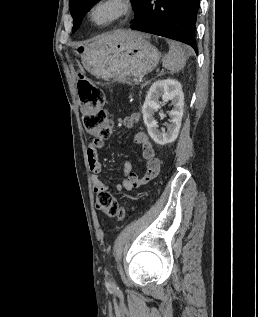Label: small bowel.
Returning <instances> with one entry per match:
<instances>
[{"label": "small bowel", "mask_w": 258, "mask_h": 317, "mask_svg": "<svg viewBox=\"0 0 258 317\" xmlns=\"http://www.w3.org/2000/svg\"><path fill=\"white\" fill-rule=\"evenodd\" d=\"M140 120L138 113H132L126 116L121 122L127 128H132ZM135 142L141 146L143 151V158L146 161V173L141 177L133 170V164L130 161L123 163L124 178L115 185L118 191H129L138 187L147 181L155 178L160 171V160L158 152L150 141L148 135L144 132L136 133L134 137ZM105 144L104 139L94 138L87 148V159L89 168L92 173V187L95 193L110 192L112 188L100 179L101 163L99 161V149Z\"/></svg>", "instance_id": "c3829d8e"}]
</instances>
